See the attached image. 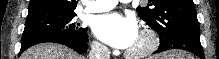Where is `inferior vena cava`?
<instances>
[{"label":"inferior vena cava","mask_w":219,"mask_h":59,"mask_svg":"<svg viewBox=\"0 0 219 59\" xmlns=\"http://www.w3.org/2000/svg\"><path fill=\"white\" fill-rule=\"evenodd\" d=\"M89 59H110V51L103 44H92Z\"/></svg>","instance_id":"602c4592"}]
</instances>
